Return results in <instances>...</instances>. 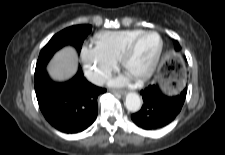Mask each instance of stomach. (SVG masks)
I'll list each match as a JSON object with an SVG mask.
<instances>
[{
	"label": "stomach",
	"mask_w": 225,
	"mask_h": 155,
	"mask_svg": "<svg viewBox=\"0 0 225 155\" xmlns=\"http://www.w3.org/2000/svg\"><path fill=\"white\" fill-rule=\"evenodd\" d=\"M156 81L161 90L168 95L177 94L183 86L182 78L174 71L169 70L167 66L160 67Z\"/></svg>",
	"instance_id": "1"
}]
</instances>
